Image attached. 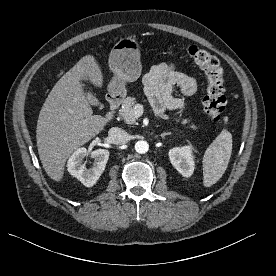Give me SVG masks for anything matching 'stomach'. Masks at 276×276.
I'll return each mask as SVG.
<instances>
[{"label":"stomach","mask_w":276,"mask_h":276,"mask_svg":"<svg viewBox=\"0 0 276 276\" xmlns=\"http://www.w3.org/2000/svg\"><path fill=\"white\" fill-rule=\"evenodd\" d=\"M139 43L134 39H121L111 50L109 68L114 77L108 85L111 95L125 92V83L136 81L141 72Z\"/></svg>","instance_id":"1"}]
</instances>
